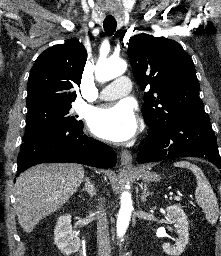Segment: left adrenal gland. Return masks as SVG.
<instances>
[{
  "instance_id": "obj_1",
  "label": "left adrenal gland",
  "mask_w": 221,
  "mask_h": 256,
  "mask_svg": "<svg viewBox=\"0 0 221 256\" xmlns=\"http://www.w3.org/2000/svg\"><path fill=\"white\" fill-rule=\"evenodd\" d=\"M153 193L152 192H148L147 191V184H144V189L141 195V201L144 203L147 199V197L152 196Z\"/></svg>"
}]
</instances>
